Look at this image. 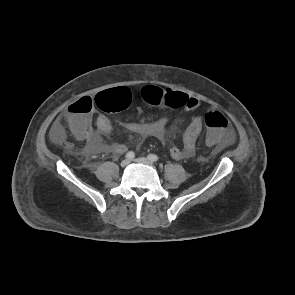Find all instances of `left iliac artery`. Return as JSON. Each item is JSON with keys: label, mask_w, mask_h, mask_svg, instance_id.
I'll list each match as a JSON object with an SVG mask.
<instances>
[{"label": "left iliac artery", "mask_w": 295, "mask_h": 295, "mask_svg": "<svg viewBox=\"0 0 295 295\" xmlns=\"http://www.w3.org/2000/svg\"><path fill=\"white\" fill-rule=\"evenodd\" d=\"M148 159L150 160V161H152V162H155V161H158V156L157 155H155V154H149L148 155Z\"/></svg>", "instance_id": "44dca946"}]
</instances>
